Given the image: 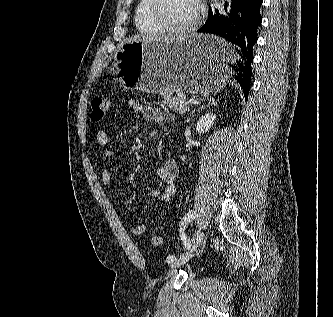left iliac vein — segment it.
Instances as JSON below:
<instances>
[{"instance_id":"4c4485c4","label":"left iliac vein","mask_w":333,"mask_h":317,"mask_svg":"<svg viewBox=\"0 0 333 317\" xmlns=\"http://www.w3.org/2000/svg\"><path fill=\"white\" fill-rule=\"evenodd\" d=\"M205 238V234L201 230H197L192 238L191 246L188 251L180 256L179 259H176L171 263L172 268L179 267L180 265L186 263L189 259H191L195 253L199 250Z\"/></svg>"}]
</instances>
